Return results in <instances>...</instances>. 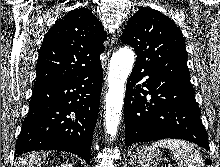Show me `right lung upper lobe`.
Returning <instances> with one entry per match:
<instances>
[{
	"label": "right lung upper lobe",
	"instance_id": "obj_1",
	"mask_svg": "<svg viewBox=\"0 0 220 167\" xmlns=\"http://www.w3.org/2000/svg\"><path fill=\"white\" fill-rule=\"evenodd\" d=\"M106 37L100 21L89 9L68 12L44 36L34 89L60 83L100 66Z\"/></svg>",
	"mask_w": 220,
	"mask_h": 167
}]
</instances>
